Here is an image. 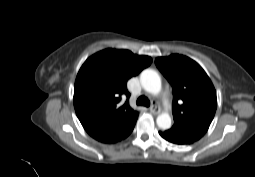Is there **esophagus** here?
I'll list each match as a JSON object with an SVG mask.
<instances>
[{
    "mask_svg": "<svg viewBox=\"0 0 255 177\" xmlns=\"http://www.w3.org/2000/svg\"><path fill=\"white\" fill-rule=\"evenodd\" d=\"M150 111L151 113L157 115L160 113V108L154 104L150 107Z\"/></svg>",
    "mask_w": 255,
    "mask_h": 177,
    "instance_id": "esophagus-1",
    "label": "esophagus"
}]
</instances>
